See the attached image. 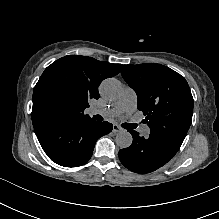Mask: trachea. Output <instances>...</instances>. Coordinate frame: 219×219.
I'll return each mask as SVG.
<instances>
[{"label":"trachea","mask_w":219,"mask_h":219,"mask_svg":"<svg viewBox=\"0 0 219 219\" xmlns=\"http://www.w3.org/2000/svg\"><path fill=\"white\" fill-rule=\"evenodd\" d=\"M93 119H95L96 121H103L104 118L101 115L97 114L93 116ZM121 126L125 129H134L137 127L136 124H132V123H123Z\"/></svg>","instance_id":"3493384b"}]
</instances>
